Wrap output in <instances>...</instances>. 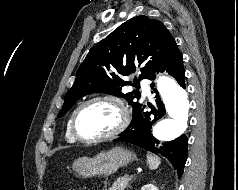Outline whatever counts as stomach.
I'll return each instance as SVG.
<instances>
[{"label": "stomach", "mask_w": 238, "mask_h": 190, "mask_svg": "<svg viewBox=\"0 0 238 190\" xmlns=\"http://www.w3.org/2000/svg\"><path fill=\"white\" fill-rule=\"evenodd\" d=\"M136 159L132 151L114 147L109 151L100 152L93 158L80 157L73 162L72 167L82 178L107 177Z\"/></svg>", "instance_id": "1"}]
</instances>
